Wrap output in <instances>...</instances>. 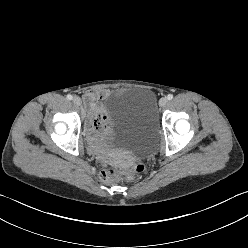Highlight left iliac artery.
<instances>
[{"label": "left iliac artery", "mask_w": 248, "mask_h": 248, "mask_svg": "<svg viewBox=\"0 0 248 248\" xmlns=\"http://www.w3.org/2000/svg\"><path fill=\"white\" fill-rule=\"evenodd\" d=\"M167 99H168V100H172V99H173V95H172V94H168V95H167Z\"/></svg>", "instance_id": "1"}]
</instances>
